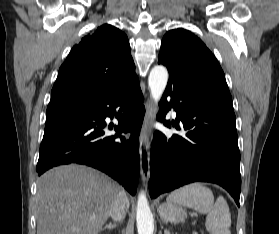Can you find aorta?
<instances>
[{
    "mask_svg": "<svg viewBox=\"0 0 279 234\" xmlns=\"http://www.w3.org/2000/svg\"><path fill=\"white\" fill-rule=\"evenodd\" d=\"M168 82V71L162 65L154 66L149 74L148 85L153 100L157 103ZM136 221L138 234H153L154 219L144 191L138 195L136 208Z\"/></svg>",
    "mask_w": 279,
    "mask_h": 234,
    "instance_id": "aorta-1",
    "label": "aorta"
}]
</instances>
